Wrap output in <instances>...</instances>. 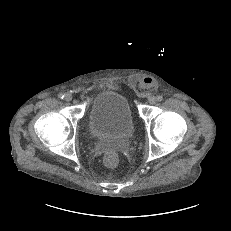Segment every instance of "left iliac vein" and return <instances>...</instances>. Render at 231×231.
I'll use <instances>...</instances> for the list:
<instances>
[{
  "mask_svg": "<svg viewBox=\"0 0 231 231\" xmlns=\"http://www.w3.org/2000/svg\"><path fill=\"white\" fill-rule=\"evenodd\" d=\"M148 102H149L151 105H153V104H155V103L157 102V98L154 97V96H150V97L148 98Z\"/></svg>",
  "mask_w": 231,
  "mask_h": 231,
  "instance_id": "4c4485c4",
  "label": "left iliac vein"
}]
</instances>
